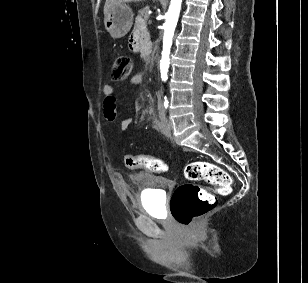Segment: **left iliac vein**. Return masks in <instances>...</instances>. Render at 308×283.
Returning <instances> with one entry per match:
<instances>
[{
    "instance_id": "4c4485c4",
    "label": "left iliac vein",
    "mask_w": 308,
    "mask_h": 283,
    "mask_svg": "<svg viewBox=\"0 0 308 283\" xmlns=\"http://www.w3.org/2000/svg\"><path fill=\"white\" fill-rule=\"evenodd\" d=\"M173 129V123L171 120L165 119L163 123V132L166 136H170Z\"/></svg>"
}]
</instances>
